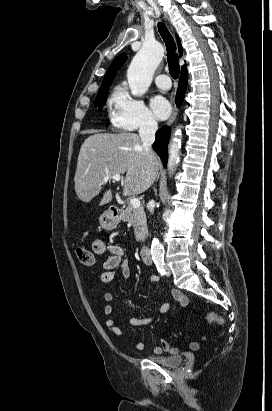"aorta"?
<instances>
[{
    "label": "aorta",
    "mask_w": 272,
    "mask_h": 411,
    "mask_svg": "<svg viewBox=\"0 0 272 411\" xmlns=\"http://www.w3.org/2000/svg\"><path fill=\"white\" fill-rule=\"evenodd\" d=\"M163 56L164 49L158 43L143 45L137 52L127 70L128 84L133 95L142 96L147 92L154 72L162 61ZM179 134V131H176L169 145L168 169L170 174L173 173L175 166L179 162L181 149ZM151 256L153 261H163L164 250L157 238L152 240Z\"/></svg>",
    "instance_id": "762f6f07"
}]
</instances>
